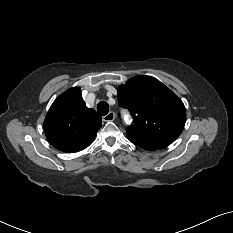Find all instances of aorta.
I'll list each match as a JSON object with an SVG mask.
<instances>
[{"mask_svg":"<svg viewBox=\"0 0 233 233\" xmlns=\"http://www.w3.org/2000/svg\"><path fill=\"white\" fill-rule=\"evenodd\" d=\"M122 116H123L125 122L129 121L130 116H129V114L127 112L123 111L122 112Z\"/></svg>","mask_w":233,"mask_h":233,"instance_id":"1","label":"aorta"}]
</instances>
